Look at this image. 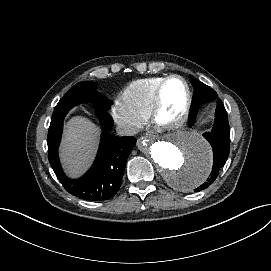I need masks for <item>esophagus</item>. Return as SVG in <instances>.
<instances>
[{
    "label": "esophagus",
    "mask_w": 271,
    "mask_h": 271,
    "mask_svg": "<svg viewBox=\"0 0 271 271\" xmlns=\"http://www.w3.org/2000/svg\"><path fill=\"white\" fill-rule=\"evenodd\" d=\"M146 136L148 138H150L151 140H156L158 138L159 134L154 130H149V131H147Z\"/></svg>",
    "instance_id": "esophagus-1"
}]
</instances>
